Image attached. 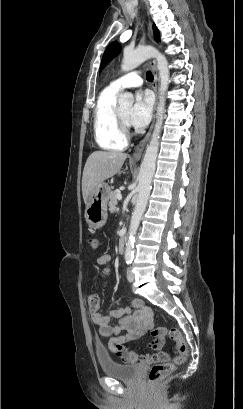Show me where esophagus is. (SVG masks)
Masks as SVG:
<instances>
[{"label":"esophagus","mask_w":243,"mask_h":409,"mask_svg":"<svg viewBox=\"0 0 243 409\" xmlns=\"http://www.w3.org/2000/svg\"><path fill=\"white\" fill-rule=\"evenodd\" d=\"M148 38L152 39V28H151V23L150 22L148 23ZM150 66H151V69H152L153 74H154V80H153V83H152V88L155 91L156 98H157L158 75H157L156 61L154 59H152L150 61ZM153 125H154V121H153V123H152V125L150 127V130L146 134V136L135 147L132 158H131L132 161H138L140 159V157L142 155V152H143L148 140L150 139L151 132H152V129H153Z\"/></svg>","instance_id":"obj_1"}]
</instances>
